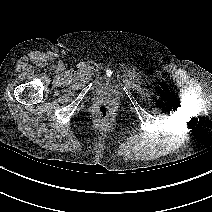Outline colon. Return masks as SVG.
Masks as SVG:
<instances>
[{"label":"colon","instance_id":"1","mask_svg":"<svg viewBox=\"0 0 212 212\" xmlns=\"http://www.w3.org/2000/svg\"><path fill=\"white\" fill-rule=\"evenodd\" d=\"M96 118L101 123H108L113 118V111L108 106H99L96 111Z\"/></svg>","mask_w":212,"mask_h":212}]
</instances>
